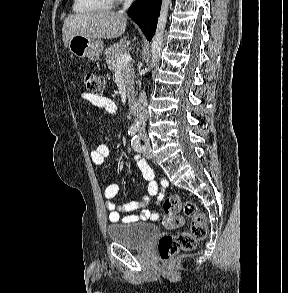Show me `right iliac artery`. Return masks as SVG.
Segmentation results:
<instances>
[{
  "label": "right iliac artery",
  "instance_id": "1",
  "mask_svg": "<svg viewBox=\"0 0 288 293\" xmlns=\"http://www.w3.org/2000/svg\"><path fill=\"white\" fill-rule=\"evenodd\" d=\"M136 132H137V127L135 126H131L128 130V134L131 136L135 135Z\"/></svg>",
  "mask_w": 288,
  "mask_h": 293
}]
</instances>
